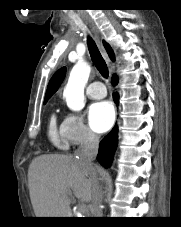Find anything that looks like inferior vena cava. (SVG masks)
I'll list each match as a JSON object with an SVG mask.
<instances>
[{
  "instance_id": "inferior-vena-cava-1",
  "label": "inferior vena cava",
  "mask_w": 181,
  "mask_h": 227,
  "mask_svg": "<svg viewBox=\"0 0 181 227\" xmlns=\"http://www.w3.org/2000/svg\"><path fill=\"white\" fill-rule=\"evenodd\" d=\"M98 146L99 137L91 130H88L84 142L79 146L75 154L86 166L93 168V160L97 156ZM93 177V214L94 217H103L101 208L103 193L96 178V173H94Z\"/></svg>"
}]
</instances>
